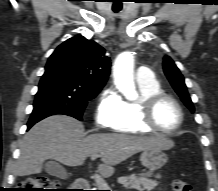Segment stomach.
Listing matches in <instances>:
<instances>
[{
	"mask_svg": "<svg viewBox=\"0 0 218 191\" xmlns=\"http://www.w3.org/2000/svg\"><path fill=\"white\" fill-rule=\"evenodd\" d=\"M140 160L144 167L153 172L162 168L166 164L168 158L163 150L152 148L144 150Z\"/></svg>",
	"mask_w": 218,
	"mask_h": 191,
	"instance_id": "1",
	"label": "stomach"
}]
</instances>
